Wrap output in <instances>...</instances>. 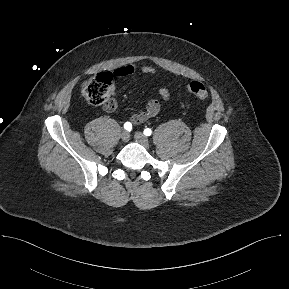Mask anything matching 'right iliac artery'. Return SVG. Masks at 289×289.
I'll return each instance as SVG.
<instances>
[{"mask_svg": "<svg viewBox=\"0 0 289 289\" xmlns=\"http://www.w3.org/2000/svg\"><path fill=\"white\" fill-rule=\"evenodd\" d=\"M124 128H125L126 130L130 131V130L132 129V124H131L130 122H126V123L124 124Z\"/></svg>", "mask_w": 289, "mask_h": 289, "instance_id": "obj_1", "label": "right iliac artery"}]
</instances>
